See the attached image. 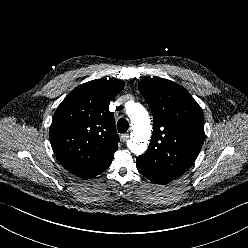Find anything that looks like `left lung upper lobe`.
I'll return each mask as SVG.
<instances>
[{"mask_svg": "<svg viewBox=\"0 0 248 248\" xmlns=\"http://www.w3.org/2000/svg\"><path fill=\"white\" fill-rule=\"evenodd\" d=\"M139 90L151 108L154 127L149 148L136 161L170 182L193 165L201 150L202 109L186 89L167 79L143 78Z\"/></svg>", "mask_w": 248, "mask_h": 248, "instance_id": "left-lung-upper-lobe-1", "label": "left lung upper lobe"}]
</instances>
